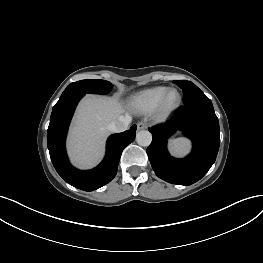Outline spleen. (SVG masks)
<instances>
[{"mask_svg":"<svg viewBox=\"0 0 263 263\" xmlns=\"http://www.w3.org/2000/svg\"><path fill=\"white\" fill-rule=\"evenodd\" d=\"M191 148L190 141L183 138L174 139L170 142V151L177 156H183Z\"/></svg>","mask_w":263,"mask_h":263,"instance_id":"obj_1","label":"spleen"}]
</instances>
